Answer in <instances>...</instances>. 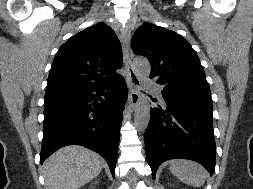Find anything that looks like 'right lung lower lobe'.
<instances>
[{"label": "right lung lower lobe", "instance_id": "98d812e1", "mask_svg": "<svg viewBox=\"0 0 253 189\" xmlns=\"http://www.w3.org/2000/svg\"><path fill=\"white\" fill-rule=\"evenodd\" d=\"M126 98L122 76L102 85L46 92L41 164L57 149L78 144L100 154L114 177Z\"/></svg>", "mask_w": 253, "mask_h": 189}]
</instances>
